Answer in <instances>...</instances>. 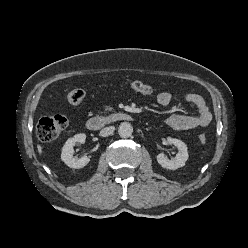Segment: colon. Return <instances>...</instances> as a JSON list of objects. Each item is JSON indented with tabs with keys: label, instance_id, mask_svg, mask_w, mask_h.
Here are the masks:
<instances>
[{
	"label": "colon",
	"instance_id": "colon-1",
	"mask_svg": "<svg viewBox=\"0 0 248 248\" xmlns=\"http://www.w3.org/2000/svg\"><path fill=\"white\" fill-rule=\"evenodd\" d=\"M129 87L141 94H151L154 92V88L141 81H134L129 84ZM86 98V92L82 89H74L67 93L66 99L69 103L77 105L82 103ZM67 119L63 115H51L43 117L37 124V136L43 142H49L55 140L60 133L66 128ZM199 142L201 144L206 143V136L201 134L199 136Z\"/></svg>",
	"mask_w": 248,
	"mask_h": 248
}]
</instances>
